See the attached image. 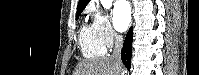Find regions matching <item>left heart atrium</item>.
<instances>
[{
    "instance_id": "obj_1",
    "label": "left heart atrium",
    "mask_w": 199,
    "mask_h": 75,
    "mask_svg": "<svg viewBox=\"0 0 199 75\" xmlns=\"http://www.w3.org/2000/svg\"><path fill=\"white\" fill-rule=\"evenodd\" d=\"M114 24L118 31H125L131 21V10L128 2L118 1L113 10Z\"/></svg>"
}]
</instances>
